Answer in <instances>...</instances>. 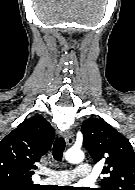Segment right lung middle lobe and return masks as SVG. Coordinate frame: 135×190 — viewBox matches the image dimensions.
<instances>
[{"mask_svg": "<svg viewBox=\"0 0 135 190\" xmlns=\"http://www.w3.org/2000/svg\"><path fill=\"white\" fill-rule=\"evenodd\" d=\"M0 190H37L35 186L0 184Z\"/></svg>", "mask_w": 135, "mask_h": 190, "instance_id": "obj_1", "label": "right lung middle lobe"}]
</instances>
